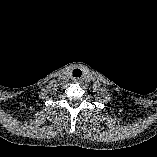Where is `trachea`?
I'll return each instance as SVG.
<instances>
[{"mask_svg":"<svg viewBox=\"0 0 157 157\" xmlns=\"http://www.w3.org/2000/svg\"><path fill=\"white\" fill-rule=\"evenodd\" d=\"M82 75V71L79 68L73 70V77L80 78Z\"/></svg>","mask_w":157,"mask_h":157,"instance_id":"trachea-1","label":"trachea"}]
</instances>
